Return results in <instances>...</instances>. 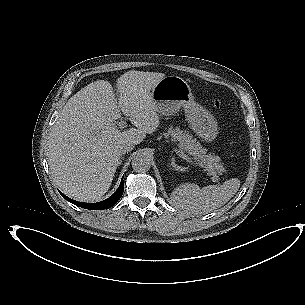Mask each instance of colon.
<instances>
[{"mask_svg": "<svg viewBox=\"0 0 305 305\" xmlns=\"http://www.w3.org/2000/svg\"><path fill=\"white\" fill-rule=\"evenodd\" d=\"M213 107H214V109H215L216 111H219L220 108H221V103H220V101L214 100V101H213Z\"/></svg>", "mask_w": 305, "mask_h": 305, "instance_id": "5ec220e1", "label": "colon"}]
</instances>
